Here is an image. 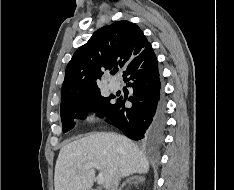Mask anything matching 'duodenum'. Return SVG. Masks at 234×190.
<instances>
[{
	"label": "duodenum",
	"instance_id": "obj_1",
	"mask_svg": "<svg viewBox=\"0 0 234 190\" xmlns=\"http://www.w3.org/2000/svg\"><path fill=\"white\" fill-rule=\"evenodd\" d=\"M91 190H100V189H91Z\"/></svg>",
	"mask_w": 234,
	"mask_h": 190
}]
</instances>
